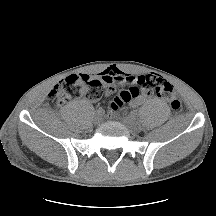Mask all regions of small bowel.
I'll list each match as a JSON object with an SVG mask.
<instances>
[{
    "label": "small bowel",
    "mask_w": 216,
    "mask_h": 216,
    "mask_svg": "<svg viewBox=\"0 0 216 216\" xmlns=\"http://www.w3.org/2000/svg\"><path fill=\"white\" fill-rule=\"evenodd\" d=\"M148 75L133 76L126 73L116 67H110L98 74V77L105 85L104 95L110 96L116 89V87L126 84L138 86L140 81L146 78ZM151 92L148 89L140 88L139 94L131 100V106L137 107L145 102Z\"/></svg>",
    "instance_id": "c3829d8e"
}]
</instances>
